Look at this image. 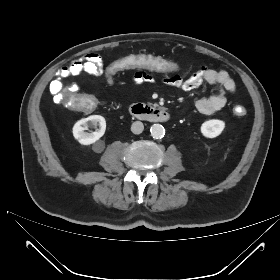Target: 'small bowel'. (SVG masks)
Segmentation results:
<instances>
[{"label": "small bowel", "instance_id": "small-bowel-1", "mask_svg": "<svg viewBox=\"0 0 280 280\" xmlns=\"http://www.w3.org/2000/svg\"><path fill=\"white\" fill-rule=\"evenodd\" d=\"M69 74L86 73L89 75H100L103 73L104 63L101 57L97 54H87L79 61H74L67 66ZM153 73H144L139 70L134 74L132 83L140 85L143 83H152L155 81ZM164 74L162 81L164 84L179 88L185 91H191L199 87L202 83H208L215 86L217 93L209 96L199 98L195 102V108L202 114L210 115L218 112L226 105V93H234L236 91V84L229 74L224 70H214L207 67H200L193 75L185 78V70L177 76H169Z\"/></svg>", "mask_w": 280, "mask_h": 280}]
</instances>
